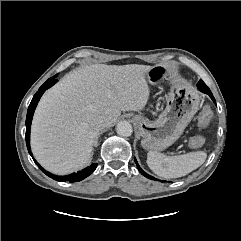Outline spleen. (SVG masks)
Returning a JSON list of instances; mask_svg holds the SVG:
<instances>
[{
  "label": "spleen",
  "instance_id": "3e777b00",
  "mask_svg": "<svg viewBox=\"0 0 241 241\" xmlns=\"http://www.w3.org/2000/svg\"><path fill=\"white\" fill-rule=\"evenodd\" d=\"M203 151L189 152L178 156H167L150 151L147 154L149 168L162 178H178L185 176L200 167L206 160Z\"/></svg>",
  "mask_w": 241,
  "mask_h": 241
}]
</instances>
